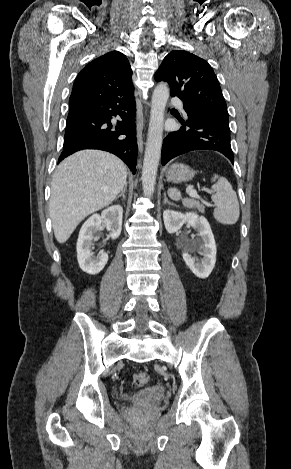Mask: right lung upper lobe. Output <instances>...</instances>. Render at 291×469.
<instances>
[{
	"label": "right lung upper lobe",
	"mask_w": 291,
	"mask_h": 469,
	"mask_svg": "<svg viewBox=\"0 0 291 469\" xmlns=\"http://www.w3.org/2000/svg\"><path fill=\"white\" fill-rule=\"evenodd\" d=\"M132 70L128 59L118 51H112L93 60L78 74L69 99V107L116 95L133 96Z\"/></svg>",
	"instance_id": "1"
}]
</instances>
